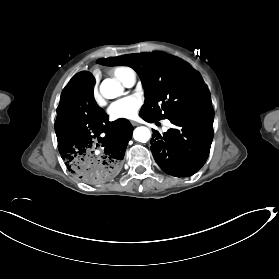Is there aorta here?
<instances>
[{
    "mask_svg": "<svg viewBox=\"0 0 279 279\" xmlns=\"http://www.w3.org/2000/svg\"><path fill=\"white\" fill-rule=\"evenodd\" d=\"M123 90L119 82L109 78L103 80L100 85V92L107 99H114L122 95ZM133 137L138 142L146 143L151 137V132L147 127L140 126L134 130Z\"/></svg>",
    "mask_w": 279,
    "mask_h": 279,
    "instance_id": "aorta-1",
    "label": "aorta"
}]
</instances>
